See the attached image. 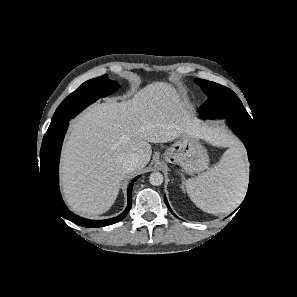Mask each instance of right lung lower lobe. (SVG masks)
<instances>
[{"label": "right lung lower lobe", "mask_w": 297, "mask_h": 297, "mask_svg": "<svg viewBox=\"0 0 297 297\" xmlns=\"http://www.w3.org/2000/svg\"><path fill=\"white\" fill-rule=\"evenodd\" d=\"M68 127V121L57 130L46 133L40 150V172L42 185L51 205L63 218L72 221L75 224L84 227H102L108 226L122 220L129 212L132 204V187L136 177L128 186V204L125 211L119 216L106 220H89L79 217L70 212L65 206L59 191L58 184V166L61 152V146L64 135ZM39 171V169H38Z\"/></svg>", "instance_id": "98d812e1"}]
</instances>
